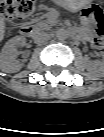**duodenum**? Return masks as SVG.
Instances as JSON below:
<instances>
[{
  "instance_id": "obj_1",
  "label": "duodenum",
  "mask_w": 104,
  "mask_h": 137,
  "mask_svg": "<svg viewBox=\"0 0 104 137\" xmlns=\"http://www.w3.org/2000/svg\"><path fill=\"white\" fill-rule=\"evenodd\" d=\"M20 32H21L22 35H24L26 37H31V36H33L35 34L36 28L31 26V25H23L20 28ZM76 37L79 38V39L84 38L83 31H81V30L77 31Z\"/></svg>"
}]
</instances>
